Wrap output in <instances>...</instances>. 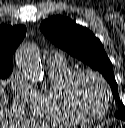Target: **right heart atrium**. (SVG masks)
<instances>
[{
    "mask_svg": "<svg viewBox=\"0 0 125 128\" xmlns=\"http://www.w3.org/2000/svg\"><path fill=\"white\" fill-rule=\"evenodd\" d=\"M12 92L16 105L23 107L31 103L35 91L25 72L17 70L13 73Z\"/></svg>",
    "mask_w": 125,
    "mask_h": 128,
    "instance_id": "1",
    "label": "right heart atrium"
}]
</instances>
